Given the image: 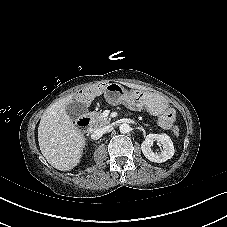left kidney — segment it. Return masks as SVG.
Here are the masks:
<instances>
[{"label":"left kidney","instance_id":"obj_1","mask_svg":"<svg viewBox=\"0 0 227 227\" xmlns=\"http://www.w3.org/2000/svg\"><path fill=\"white\" fill-rule=\"evenodd\" d=\"M154 141L161 144V152L155 153L152 150ZM144 156L151 162L162 163L174 155V146L171 138L167 134H149L141 144Z\"/></svg>","mask_w":227,"mask_h":227}]
</instances>
